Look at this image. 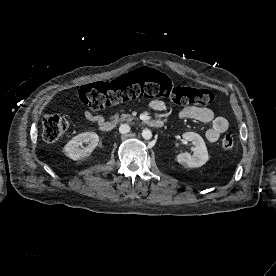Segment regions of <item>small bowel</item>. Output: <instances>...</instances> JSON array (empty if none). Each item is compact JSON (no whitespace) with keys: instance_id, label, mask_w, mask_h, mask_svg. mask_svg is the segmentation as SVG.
Returning <instances> with one entry per match:
<instances>
[{"instance_id":"small-bowel-1","label":"small bowel","mask_w":276,"mask_h":276,"mask_svg":"<svg viewBox=\"0 0 276 276\" xmlns=\"http://www.w3.org/2000/svg\"><path fill=\"white\" fill-rule=\"evenodd\" d=\"M150 107L155 111H163L166 106L161 100H153L150 102ZM180 118L196 120L202 123H209L211 127L206 131V138L209 142H216L221 134L229 128V121L223 117L216 115L215 112L206 107L187 106L179 112ZM83 117L87 121L101 124L103 117L93 114L89 110L83 111Z\"/></svg>"}]
</instances>
